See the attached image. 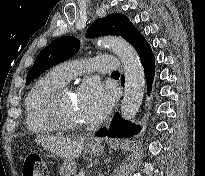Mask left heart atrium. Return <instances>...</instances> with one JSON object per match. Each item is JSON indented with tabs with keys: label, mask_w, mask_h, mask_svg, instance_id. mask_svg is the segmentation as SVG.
<instances>
[{
	"label": "left heart atrium",
	"mask_w": 205,
	"mask_h": 176,
	"mask_svg": "<svg viewBox=\"0 0 205 176\" xmlns=\"http://www.w3.org/2000/svg\"><path fill=\"white\" fill-rule=\"evenodd\" d=\"M76 99L84 118L87 121L97 122L108 113L113 94L98 80L89 79L78 89Z\"/></svg>",
	"instance_id": "left-heart-atrium-1"
}]
</instances>
